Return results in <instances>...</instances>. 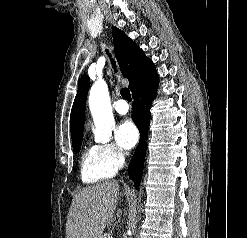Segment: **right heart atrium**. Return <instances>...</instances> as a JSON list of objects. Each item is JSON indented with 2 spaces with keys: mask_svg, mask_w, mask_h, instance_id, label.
<instances>
[{
  "mask_svg": "<svg viewBox=\"0 0 247 238\" xmlns=\"http://www.w3.org/2000/svg\"><path fill=\"white\" fill-rule=\"evenodd\" d=\"M99 147L104 159L111 167L115 170L122 167L125 162V154L118 147L111 143L103 144Z\"/></svg>",
  "mask_w": 247,
  "mask_h": 238,
  "instance_id": "right-heart-atrium-1",
  "label": "right heart atrium"
}]
</instances>
